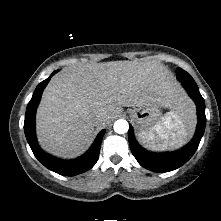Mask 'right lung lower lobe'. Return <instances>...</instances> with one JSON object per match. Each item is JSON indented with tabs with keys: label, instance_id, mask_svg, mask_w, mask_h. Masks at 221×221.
Masks as SVG:
<instances>
[{
	"label": "right lung lower lobe",
	"instance_id": "1",
	"mask_svg": "<svg viewBox=\"0 0 221 221\" xmlns=\"http://www.w3.org/2000/svg\"><path fill=\"white\" fill-rule=\"evenodd\" d=\"M56 73L54 71L51 76ZM42 81L35 89L30 102L27 105L24 132L26 139L34 153L35 157L48 169L63 175L75 176L91 169L99 158L101 141L104 136L105 130H102L91 148L81 157L74 160H61L45 153L38 145L35 135V114L37 106L40 102L42 92L48 84L50 78Z\"/></svg>",
	"mask_w": 221,
	"mask_h": 221
}]
</instances>
